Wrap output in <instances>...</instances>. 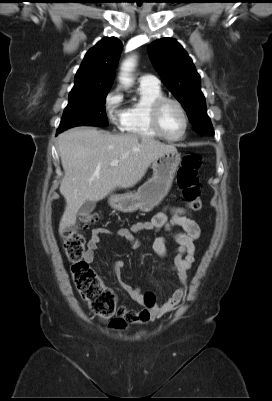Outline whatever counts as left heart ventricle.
Wrapping results in <instances>:
<instances>
[{
    "label": "left heart ventricle",
    "instance_id": "obj_1",
    "mask_svg": "<svg viewBox=\"0 0 272 401\" xmlns=\"http://www.w3.org/2000/svg\"><path fill=\"white\" fill-rule=\"evenodd\" d=\"M161 126L170 137H179L184 128V121L180 110L174 104H168L161 113Z\"/></svg>",
    "mask_w": 272,
    "mask_h": 401
}]
</instances>
